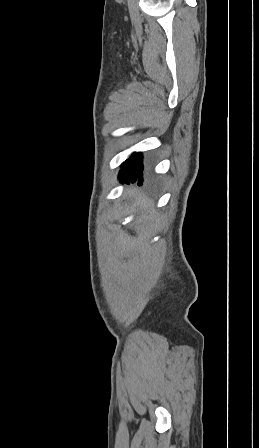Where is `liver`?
I'll use <instances>...</instances> for the list:
<instances>
[{
  "label": "liver",
  "mask_w": 259,
  "mask_h": 448,
  "mask_svg": "<svg viewBox=\"0 0 259 448\" xmlns=\"http://www.w3.org/2000/svg\"><path fill=\"white\" fill-rule=\"evenodd\" d=\"M128 194L134 196L135 200H137V204H142V202H144L143 206H148L149 200L147 196H136V192L135 190H133V188H129ZM137 204H132L131 210H133V208H136ZM144 218H146V216H144ZM136 222H142V220H140L139 218V220H136Z\"/></svg>",
  "instance_id": "obj_1"
}]
</instances>
